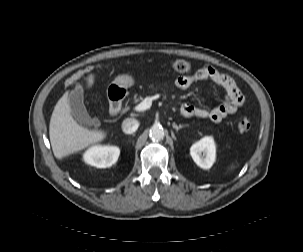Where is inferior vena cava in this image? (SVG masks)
<instances>
[{
    "instance_id": "inferior-vena-cava-1",
    "label": "inferior vena cava",
    "mask_w": 303,
    "mask_h": 252,
    "mask_svg": "<svg viewBox=\"0 0 303 252\" xmlns=\"http://www.w3.org/2000/svg\"><path fill=\"white\" fill-rule=\"evenodd\" d=\"M139 127V122L134 118H126L122 122V130L126 134L134 133Z\"/></svg>"
}]
</instances>
